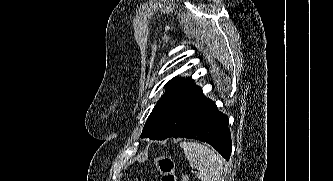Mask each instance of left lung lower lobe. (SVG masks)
Returning <instances> with one entry per match:
<instances>
[{"mask_svg":"<svg viewBox=\"0 0 333 181\" xmlns=\"http://www.w3.org/2000/svg\"><path fill=\"white\" fill-rule=\"evenodd\" d=\"M228 123V117L219 112L216 104L210 101L179 133L172 137H185L209 143L226 160H229L232 142ZM161 138L158 134L151 139L164 140Z\"/></svg>","mask_w":333,"mask_h":181,"instance_id":"obj_1","label":"left lung lower lobe"}]
</instances>
